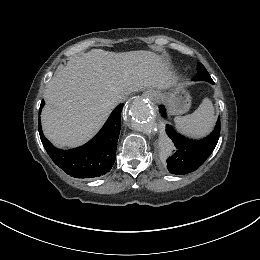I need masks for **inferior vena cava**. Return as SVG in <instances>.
Returning a JSON list of instances; mask_svg holds the SVG:
<instances>
[{"mask_svg": "<svg viewBox=\"0 0 260 260\" xmlns=\"http://www.w3.org/2000/svg\"><path fill=\"white\" fill-rule=\"evenodd\" d=\"M125 100H126V96H125V95H119V96H117L116 98H114L113 103H114L115 105H117V104H119V103L124 102Z\"/></svg>", "mask_w": 260, "mask_h": 260, "instance_id": "1", "label": "inferior vena cava"}]
</instances>
